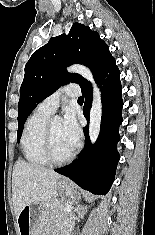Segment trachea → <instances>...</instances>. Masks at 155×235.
<instances>
[{
    "instance_id": "3493384b",
    "label": "trachea",
    "mask_w": 155,
    "mask_h": 235,
    "mask_svg": "<svg viewBox=\"0 0 155 235\" xmlns=\"http://www.w3.org/2000/svg\"><path fill=\"white\" fill-rule=\"evenodd\" d=\"M78 101H79V102H83V101H84V98H83L82 96H80V97L78 98Z\"/></svg>"
}]
</instances>
